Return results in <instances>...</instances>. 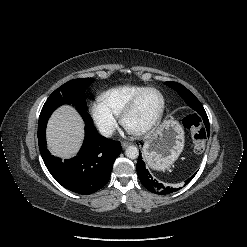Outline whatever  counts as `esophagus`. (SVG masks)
<instances>
[{
  "label": "esophagus",
  "mask_w": 247,
  "mask_h": 247,
  "mask_svg": "<svg viewBox=\"0 0 247 247\" xmlns=\"http://www.w3.org/2000/svg\"><path fill=\"white\" fill-rule=\"evenodd\" d=\"M121 145H122V148H126L130 145V143L129 142H122Z\"/></svg>",
  "instance_id": "esophagus-1"
}]
</instances>
